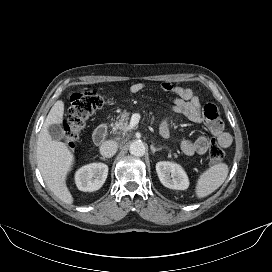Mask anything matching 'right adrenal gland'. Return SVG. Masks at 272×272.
Listing matches in <instances>:
<instances>
[{
    "instance_id": "obj_1",
    "label": "right adrenal gland",
    "mask_w": 272,
    "mask_h": 272,
    "mask_svg": "<svg viewBox=\"0 0 272 272\" xmlns=\"http://www.w3.org/2000/svg\"><path fill=\"white\" fill-rule=\"evenodd\" d=\"M100 159H101V160H104V161L106 160V158H105V157H100Z\"/></svg>"
}]
</instances>
